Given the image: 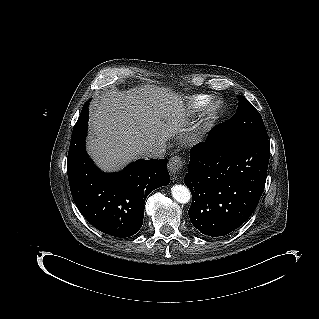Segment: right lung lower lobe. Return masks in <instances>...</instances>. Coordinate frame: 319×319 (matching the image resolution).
<instances>
[{
	"label": "right lung lower lobe",
	"mask_w": 319,
	"mask_h": 319,
	"mask_svg": "<svg viewBox=\"0 0 319 319\" xmlns=\"http://www.w3.org/2000/svg\"><path fill=\"white\" fill-rule=\"evenodd\" d=\"M87 120L88 104H84L72 132L67 158L73 200L99 231L114 237L132 236L143 224L147 196L170 182L168 160H138L118 173H104L85 151Z\"/></svg>",
	"instance_id": "obj_1"
}]
</instances>
